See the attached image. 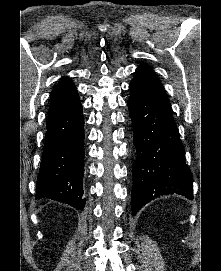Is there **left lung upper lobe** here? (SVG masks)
Instances as JSON below:
<instances>
[{"mask_svg": "<svg viewBox=\"0 0 221 271\" xmlns=\"http://www.w3.org/2000/svg\"><path fill=\"white\" fill-rule=\"evenodd\" d=\"M131 82H137L141 86L145 87L150 93L155 97L159 98L161 101L170 105L163 88L162 83L156 77L154 71L147 65H140L135 73L134 79Z\"/></svg>", "mask_w": 221, "mask_h": 271, "instance_id": "5c2ea615", "label": "left lung upper lobe"}]
</instances>
